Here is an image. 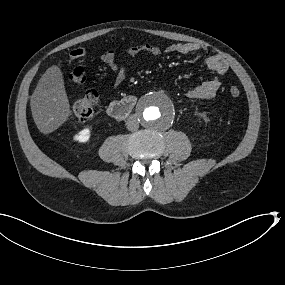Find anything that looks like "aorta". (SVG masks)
<instances>
[{
    "label": "aorta",
    "mask_w": 285,
    "mask_h": 285,
    "mask_svg": "<svg viewBox=\"0 0 285 285\" xmlns=\"http://www.w3.org/2000/svg\"><path fill=\"white\" fill-rule=\"evenodd\" d=\"M137 117L140 123L150 130H163L169 127L176 117V104L173 98L163 91H150L144 94L137 104Z\"/></svg>",
    "instance_id": "obj_1"
}]
</instances>
